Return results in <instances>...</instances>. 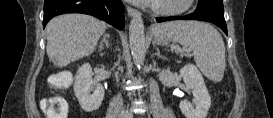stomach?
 <instances>
[{
    "label": "stomach",
    "mask_w": 273,
    "mask_h": 118,
    "mask_svg": "<svg viewBox=\"0 0 273 118\" xmlns=\"http://www.w3.org/2000/svg\"><path fill=\"white\" fill-rule=\"evenodd\" d=\"M169 40L170 39L166 36H159V37L155 38L156 43L159 45H166V44H168Z\"/></svg>",
    "instance_id": "0dacf381"
}]
</instances>
